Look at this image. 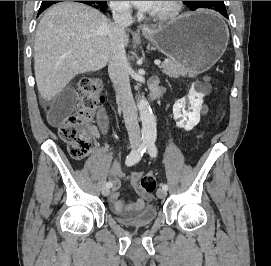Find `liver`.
Returning a JSON list of instances; mask_svg holds the SVG:
<instances>
[{"instance_id": "6515ba94", "label": "liver", "mask_w": 271, "mask_h": 266, "mask_svg": "<svg viewBox=\"0 0 271 266\" xmlns=\"http://www.w3.org/2000/svg\"><path fill=\"white\" fill-rule=\"evenodd\" d=\"M109 28L104 14L81 3H59L44 14L34 43L35 78L44 100H52L76 75L107 65ZM128 44L125 35L124 45Z\"/></svg>"}]
</instances>
